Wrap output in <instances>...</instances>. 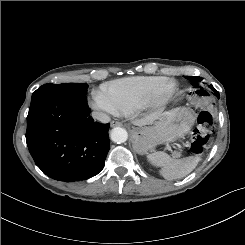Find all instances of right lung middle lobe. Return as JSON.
I'll use <instances>...</instances> for the list:
<instances>
[{
    "label": "right lung middle lobe",
    "mask_w": 245,
    "mask_h": 245,
    "mask_svg": "<svg viewBox=\"0 0 245 245\" xmlns=\"http://www.w3.org/2000/svg\"><path fill=\"white\" fill-rule=\"evenodd\" d=\"M88 85L86 83L44 84L33 94L31 102L47 95H67L72 97H85Z\"/></svg>",
    "instance_id": "obj_1"
}]
</instances>
